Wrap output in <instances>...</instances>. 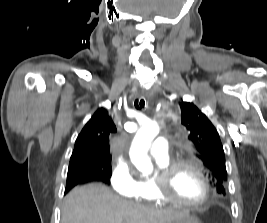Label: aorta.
Listing matches in <instances>:
<instances>
[{
	"instance_id": "762f6f07",
	"label": "aorta",
	"mask_w": 267,
	"mask_h": 223,
	"mask_svg": "<svg viewBox=\"0 0 267 223\" xmlns=\"http://www.w3.org/2000/svg\"><path fill=\"white\" fill-rule=\"evenodd\" d=\"M159 133V127L155 122H149L135 135L129 155L135 167L144 175L150 174L153 170L151 160L147 156L152 140Z\"/></svg>"
}]
</instances>
